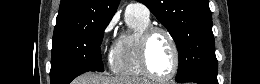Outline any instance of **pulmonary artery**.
Segmentation results:
<instances>
[{"label": "pulmonary artery", "instance_id": "1", "mask_svg": "<svg viewBox=\"0 0 260 84\" xmlns=\"http://www.w3.org/2000/svg\"><path fill=\"white\" fill-rule=\"evenodd\" d=\"M126 13H136L145 19H149L150 11L149 9L141 3H131L126 7Z\"/></svg>", "mask_w": 260, "mask_h": 84}]
</instances>
